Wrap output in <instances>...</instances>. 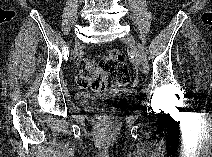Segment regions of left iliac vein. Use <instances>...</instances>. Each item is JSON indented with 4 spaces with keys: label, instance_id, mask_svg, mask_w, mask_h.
Returning a JSON list of instances; mask_svg holds the SVG:
<instances>
[{
    "label": "left iliac vein",
    "instance_id": "obj_1",
    "mask_svg": "<svg viewBox=\"0 0 212 157\" xmlns=\"http://www.w3.org/2000/svg\"><path fill=\"white\" fill-rule=\"evenodd\" d=\"M122 40L132 48V52H133L136 63L139 66H141V69L143 70V72L146 73L142 63L141 55L138 52V49L136 47L134 37L131 34H126L125 36L122 37Z\"/></svg>",
    "mask_w": 212,
    "mask_h": 157
}]
</instances>
